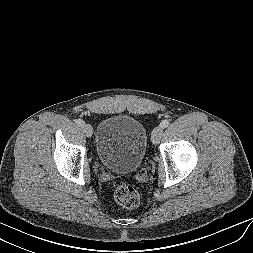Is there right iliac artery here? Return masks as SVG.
I'll list each match as a JSON object with an SVG mask.
<instances>
[{"mask_svg":"<svg viewBox=\"0 0 253 253\" xmlns=\"http://www.w3.org/2000/svg\"><path fill=\"white\" fill-rule=\"evenodd\" d=\"M76 124H77L78 126H82V125L84 124V122H83L81 119H77V120H76Z\"/></svg>","mask_w":253,"mask_h":253,"instance_id":"obj_1","label":"right iliac artery"}]
</instances>
